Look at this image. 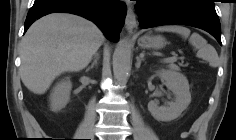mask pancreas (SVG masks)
Wrapping results in <instances>:
<instances>
[{"label": "pancreas", "mask_w": 236, "mask_h": 140, "mask_svg": "<svg viewBox=\"0 0 236 140\" xmlns=\"http://www.w3.org/2000/svg\"><path fill=\"white\" fill-rule=\"evenodd\" d=\"M166 63H169V68L172 70L178 71L180 69L176 64H174L172 62H166Z\"/></svg>", "instance_id": "cf45deb5"}]
</instances>
